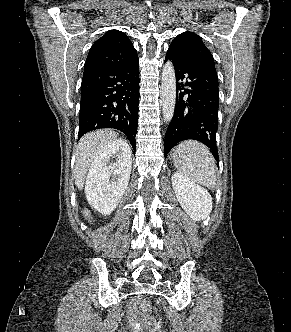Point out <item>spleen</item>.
Returning a JSON list of instances; mask_svg holds the SVG:
<instances>
[{
	"mask_svg": "<svg viewBox=\"0 0 291 332\" xmlns=\"http://www.w3.org/2000/svg\"><path fill=\"white\" fill-rule=\"evenodd\" d=\"M173 163L188 180L214 188L216 186V164L210 150L202 143L187 140L173 152Z\"/></svg>",
	"mask_w": 291,
	"mask_h": 332,
	"instance_id": "obj_1",
	"label": "spleen"
}]
</instances>
